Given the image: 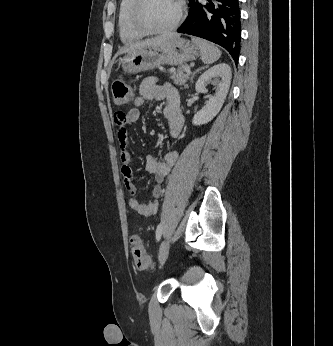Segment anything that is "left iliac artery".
Wrapping results in <instances>:
<instances>
[{
	"instance_id": "obj_1",
	"label": "left iliac artery",
	"mask_w": 333,
	"mask_h": 346,
	"mask_svg": "<svg viewBox=\"0 0 333 346\" xmlns=\"http://www.w3.org/2000/svg\"><path fill=\"white\" fill-rule=\"evenodd\" d=\"M161 235H162V224H159L157 226V229H156V239H157V241L160 240Z\"/></svg>"
}]
</instances>
